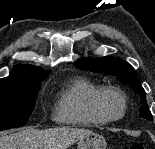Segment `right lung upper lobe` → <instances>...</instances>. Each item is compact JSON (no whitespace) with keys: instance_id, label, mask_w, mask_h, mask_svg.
<instances>
[{"instance_id":"cb5924a9","label":"right lung upper lobe","mask_w":155,"mask_h":149,"mask_svg":"<svg viewBox=\"0 0 155 149\" xmlns=\"http://www.w3.org/2000/svg\"><path fill=\"white\" fill-rule=\"evenodd\" d=\"M48 73L32 65H17L11 70L9 77H5L0 81L34 80L47 76Z\"/></svg>"}]
</instances>
